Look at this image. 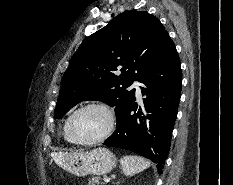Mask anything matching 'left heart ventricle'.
<instances>
[{"label": "left heart ventricle", "instance_id": "1", "mask_svg": "<svg viewBox=\"0 0 233 185\" xmlns=\"http://www.w3.org/2000/svg\"><path fill=\"white\" fill-rule=\"evenodd\" d=\"M109 123L107 114L101 109H85L72 120L71 129L80 140H88L101 135Z\"/></svg>", "mask_w": 233, "mask_h": 185}]
</instances>
